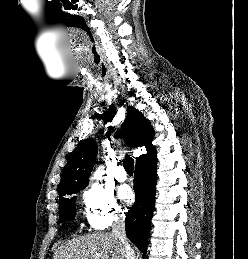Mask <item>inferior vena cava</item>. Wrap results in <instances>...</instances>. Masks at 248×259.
I'll return each mask as SVG.
<instances>
[{
	"label": "inferior vena cava",
	"mask_w": 248,
	"mask_h": 259,
	"mask_svg": "<svg viewBox=\"0 0 248 259\" xmlns=\"http://www.w3.org/2000/svg\"><path fill=\"white\" fill-rule=\"evenodd\" d=\"M112 233L118 238V240L124 246L125 258L135 259L134 250L132 249L126 237L124 214H119L115 216L114 223L112 226Z\"/></svg>",
	"instance_id": "obj_1"
}]
</instances>
